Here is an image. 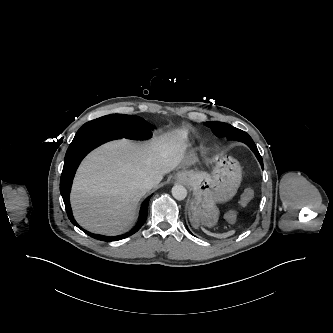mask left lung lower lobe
Masks as SVG:
<instances>
[{
    "mask_svg": "<svg viewBox=\"0 0 333 333\" xmlns=\"http://www.w3.org/2000/svg\"><path fill=\"white\" fill-rule=\"evenodd\" d=\"M245 144H247L250 147V149L254 152V154L256 155L257 159L259 160V162H260V164H261V166L263 168L262 157H261V155H260V153H259L256 145L254 144L253 140L247 138V139H245Z\"/></svg>",
    "mask_w": 333,
    "mask_h": 333,
    "instance_id": "0a47b994",
    "label": "left lung lower lobe"
}]
</instances>
